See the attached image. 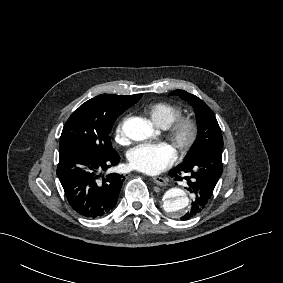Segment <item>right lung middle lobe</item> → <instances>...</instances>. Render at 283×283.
Segmentation results:
<instances>
[{
    "label": "right lung middle lobe",
    "mask_w": 283,
    "mask_h": 283,
    "mask_svg": "<svg viewBox=\"0 0 283 283\" xmlns=\"http://www.w3.org/2000/svg\"><path fill=\"white\" fill-rule=\"evenodd\" d=\"M141 97L102 94L86 101L66 121L59 150L78 145L99 155L111 153L114 149L109 133L115 120Z\"/></svg>",
    "instance_id": "dd1d6c3e"
}]
</instances>
